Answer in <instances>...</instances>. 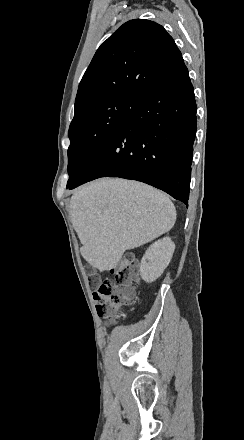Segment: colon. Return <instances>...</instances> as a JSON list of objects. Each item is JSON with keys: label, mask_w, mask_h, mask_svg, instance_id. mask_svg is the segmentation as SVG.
Here are the masks:
<instances>
[{"label": "colon", "mask_w": 244, "mask_h": 440, "mask_svg": "<svg viewBox=\"0 0 244 440\" xmlns=\"http://www.w3.org/2000/svg\"><path fill=\"white\" fill-rule=\"evenodd\" d=\"M125 253L128 255L130 252L127 250ZM87 268L91 269L92 265L88 264ZM113 274L115 282L110 279L101 280L99 275H88L86 279L95 290L93 298L98 304V310L109 319L120 316L132 300V283L138 279V263L132 258H126L113 269Z\"/></svg>", "instance_id": "5ec220e1"}]
</instances>
